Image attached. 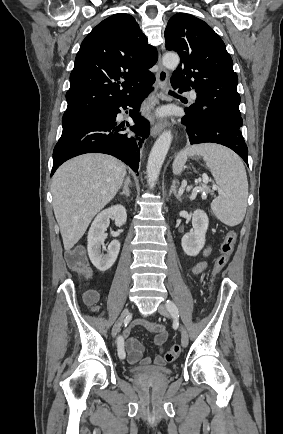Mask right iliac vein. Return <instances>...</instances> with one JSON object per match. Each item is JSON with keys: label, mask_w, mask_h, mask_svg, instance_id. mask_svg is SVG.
Instances as JSON below:
<instances>
[{"label": "right iliac vein", "mask_w": 283, "mask_h": 434, "mask_svg": "<svg viewBox=\"0 0 283 434\" xmlns=\"http://www.w3.org/2000/svg\"><path fill=\"white\" fill-rule=\"evenodd\" d=\"M130 311L128 308L124 309L120 315V317L118 318L117 322L115 323V325L113 326L112 329V336L116 337V335L118 334V332L120 331V328L123 324V322L125 321V319L129 316Z\"/></svg>", "instance_id": "obj_1"}]
</instances>
